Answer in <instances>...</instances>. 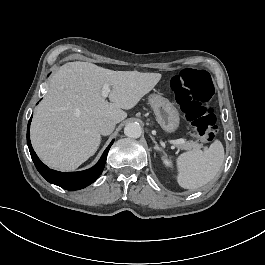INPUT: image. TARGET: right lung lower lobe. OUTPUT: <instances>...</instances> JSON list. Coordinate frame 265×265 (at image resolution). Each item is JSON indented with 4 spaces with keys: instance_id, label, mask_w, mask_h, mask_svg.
Instances as JSON below:
<instances>
[{
    "instance_id": "obj_1",
    "label": "right lung lower lobe",
    "mask_w": 265,
    "mask_h": 265,
    "mask_svg": "<svg viewBox=\"0 0 265 265\" xmlns=\"http://www.w3.org/2000/svg\"><path fill=\"white\" fill-rule=\"evenodd\" d=\"M31 119L32 117L30 118L28 127H27V144H28L31 157L33 159V162L37 170L48 182L55 184L57 186H60L67 190H79V189H82L90 185L99 177V175L102 173L104 169L108 151L114 141H112L110 145L105 149L98 163L92 168L85 170V171H80V172H69V173L58 172L55 170H51L46 165H44L39 160L36 153L34 152L31 146V142H30Z\"/></svg>"
}]
</instances>
